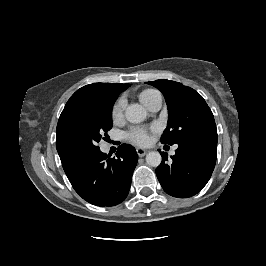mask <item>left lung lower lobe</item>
I'll use <instances>...</instances> for the list:
<instances>
[{"instance_id":"left-lung-lower-lobe-1","label":"left lung lower lobe","mask_w":266,"mask_h":266,"mask_svg":"<svg viewBox=\"0 0 266 266\" xmlns=\"http://www.w3.org/2000/svg\"><path fill=\"white\" fill-rule=\"evenodd\" d=\"M216 154V139L179 143L169 163L162 152V162L156 168V175L164 191L177 198L197 194L212 175Z\"/></svg>"}]
</instances>
